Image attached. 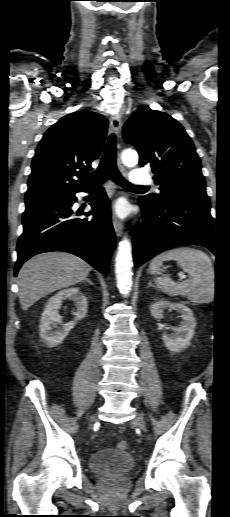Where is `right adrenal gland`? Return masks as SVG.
<instances>
[{
  "label": "right adrenal gland",
  "instance_id": "2a0ac1e0",
  "mask_svg": "<svg viewBox=\"0 0 230 517\" xmlns=\"http://www.w3.org/2000/svg\"><path fill=\"white\" fill-rule=\"evenodd\" d=\"M84 281H85V282H88V283H89V284H91V285H93V284H94V283H93L89 278H86Z\"/></svg>",
  "mask_w": 230,
  "mask_h": 517
}]
</instances>
